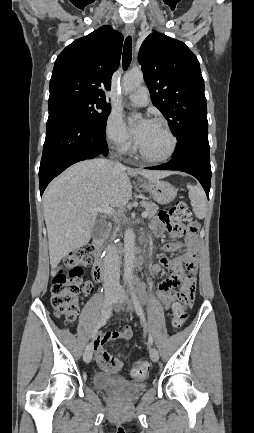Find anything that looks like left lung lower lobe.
I'll return each instance as SVG.
<instances>
[{"instance_id":"1","label":"left lung lower lobe","mask_w":254,"mask_h":433,"mask_svg":"<svg viewBox=\"0 0 254 433\" xmlns=\"http://www.w3.org/2000/svg\"><path fill=\"white\" fill-rule=\"evenodd\" d=\"M148 169L178 170L191 174L198 179L209 198L211 167L208 135L188 136L177 145L174 156L169 162Z\"/></svg>"}]
</instances>
